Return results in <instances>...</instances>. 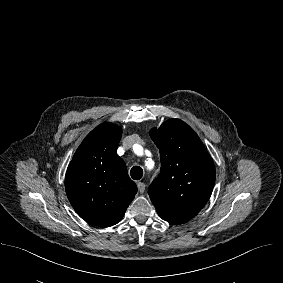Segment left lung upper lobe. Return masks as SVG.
Returning a JSON list of instances; mask_svg holds the SVG:
<instances>
[{
	"instance_id": "obj_1",
	"label": "left lung upper lobe",
	"mask_w": 283,
	"mask_h": 283,
	"mask_svg": "<svg viewBox=\"0 0 283 283\" xmlns=\"http://www.w3.org/2000/svg\"><path fill=\"white\" fill-rule=\"evenodd\" d=\"M150 137L160 150L161 173L149 187L159 216L173 224L194 218L209 200L215 166L197 134L179 119L153 128Z\"/></svg>"
}]
</instances>
